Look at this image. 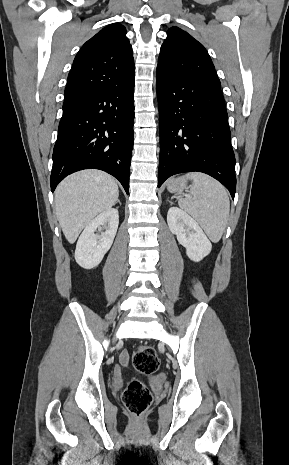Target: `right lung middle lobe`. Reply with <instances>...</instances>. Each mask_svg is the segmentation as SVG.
<instances>
[{"mask_svg":"<svg viewBox=\"0 0 289 465\" xmlns=\"http://www.w3.org/2000/svg\"><path fill=\"white\" fill-rule=\"evenodd\" d=\"M72 108V105H67V106H63V114H66L67 112H69Z\"/></svg>","mask_w":289,"mask_h":465,"instance_id":"right-lung-middle-lobe-1","label":"right lung middle lobe"}]
</instances>
